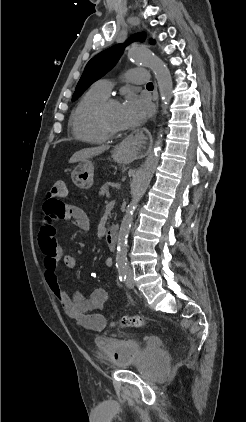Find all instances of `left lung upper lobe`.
<instances>
[{"label": "left lung upper lobe", "mask_w": 246, "mask_h": 422, "mask_svg": "<svg viewBox=\"0 0 246 422\" xmlns=\"http://www.w3.org/2000/svg\"><path fill=\"white\" fill-rule=\"evenodd\" d=\"M145 39L146 34L144 32L138 33L137 35L129 38L126 43L114 45L93 57L84 69L72 97V101L77 100L92 83L101 78L115 66L127 45L137 40L144 42Z\"/></svg>", "instance_id": "left-lung-upper-lobe-1"}]
</instances>
